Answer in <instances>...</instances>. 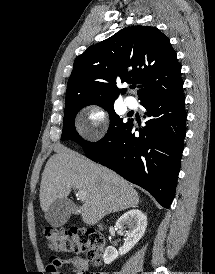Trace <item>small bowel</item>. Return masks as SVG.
I'll return each instance as SVG.
<instances>
[{
	"label": "small bowel",
	"mask_w": 215,
	"mask_h": 274,
	"mask_svg": "<svg viewBox=\"0 0 215 274\" xmlns=\"http://www.w3.org/2000/svg\"><path fill=\"white\" fill-rule=\"evenodd\" d=\"M64 266H70L75 269L76 274H107L105 272L92 273L89 270L88 260L80 255L72 256L68 258H60L52 256L49 259V263L46 267V272L50 274H64L60 271V268Z\"/></svg>",
	"instance_id": "c3829d8e"
}]
</instances>
